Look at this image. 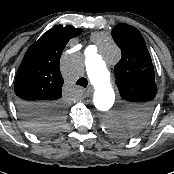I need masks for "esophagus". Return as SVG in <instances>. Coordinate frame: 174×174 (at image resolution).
<instances>
[{"label":"esophagus","mask_w":174,"mask_h":174,"mask_svg":"<svg viewBox=\"0 0 174 174\" xmlns=\"http://www.w3.org/2000/svg\"><path fill=\"white\" fill-rule=\"evenodd\" d=\"M91 92H92L91 89H87L85 91V96L88 97L91 94Z\"/></svg>","instance_id":"esophagus-1"}]
</instances>
